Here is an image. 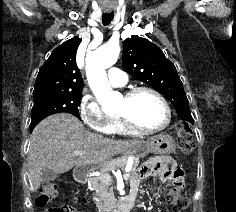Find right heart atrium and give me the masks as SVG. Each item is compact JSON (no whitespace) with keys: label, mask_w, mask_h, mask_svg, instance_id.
I'll return each mask as SVG.
<instances>
[{"label":"right heart atrium","mask_w":236,"mask_h":212,"mask_svg":"<svg viewBox=\"0 0 236 212\" xmlns=\"http://www.w3.org/2000/svg\"><path fill=\"white\" fill-rule=\"evenodd\" d=\"M79 113L83 122L91 129L107 133L111 117L104 113L93 96L86 94L82 97L79 104Z\"/></svg>","instance_id":"d8ad5b80"}]
</instances>
